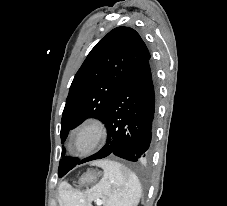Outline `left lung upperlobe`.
I'll list each match as a JSON object with an SVG mask.
<instances>
[{
    "mask_svg": "<svg viewBox=\"0 0 227 206\" xmlns=\"http://www.w3.org/2000/svg\"><path fill=\"white\" fill-rule=\"evenodd\" d=\"M151 58L140 35L132 28L117 27L90 51L71 84L61 120V142L69 129L85 119L105 121L109 107L123 83ZM65 150L62 151V156ZM78 158L64 157L58 175L70 170Z\"/></svg>",
    "mask_w": 227,
    "mask_h": 206,
    "instance_id": "left-lung-upper-lobe-1",
    "label": "left lung upper lobe"
}]
</instances>
